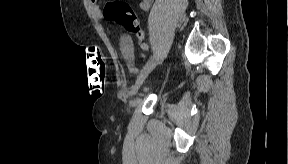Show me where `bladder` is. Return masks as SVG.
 I'll return each mask as SVG.
<instances>
[{
	"label": "bladder",
	"mask_w": 288,
	"mask_h": 164,
	"mask_svg": "<svg viewBox=\"0 0 288 164\" xmlns=\"http://www.w3.org/2000/svg\"><path fill=\"white\" fill-rule=\"evenodd\" d=\"M123 51H124V54L127 57V59L130 61V63L133 64L134 55H133V50H132L131 46L128 44H124L123 45Z\"/></svg>",
	"instance_id": "1"
}]
</instances>
